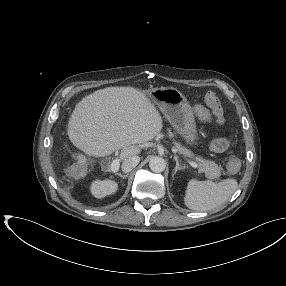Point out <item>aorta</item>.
<instances>
[{
	"label": "aorta",
	"mask_w": 286,
	"mask_h": 286,
	"mask_svg": "<svg viewBox=\"0 0 286 286\" xmlns=\"http://www.w3.org/2000/svg\"><path fill=\"white\" fill-rule=\"evenodd\" d=\"M149 167L153 172L160 173L166 168V162L162 157L154 156L149 161Z\"/></svg>",
	"instance_id": "obj_1"
}]
</instances>
